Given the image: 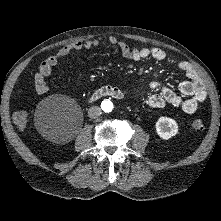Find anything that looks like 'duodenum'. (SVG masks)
I'll return each instance as SVG.
<instances>
[{
  "instance_id": "1",
  "label": "duodenum",
  "mask_w": 221,
  "mask_h": 221,
  "mask_svg": "<svg viewBox=\"0 0 221 221\" xmlns=\"http://www.w3.org/2000/svg\"><path fill=\"white\" fill-rule=\"evenodd\" d=\"M105 96H110V97L120 100V99H123L124 94L119 88L108 85V86H103L99 88L98 90H96L91 96L90 100L94 101L98 98L105 97Z\"/></svg>"
}]
</instances>
